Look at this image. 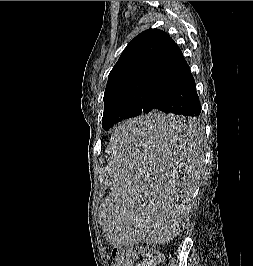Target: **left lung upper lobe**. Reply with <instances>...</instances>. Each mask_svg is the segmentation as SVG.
<instances>
[{"label":"left lung upper lobe","instance_id":"5c2ea615","mask_svg":"<svg viewBox=\"0 0 253 266\" xmlns=\"http://www.w3.org/2000/svg\"><path fill=\"white\" fill-rule=\"evenodd\" d=\"M172 41L164 31L148 29L128 43L108 76L103 98L104 130L142 114L149 83Z\"/></svg>","mask_w":253,"mask_h":266}]
</instances>
